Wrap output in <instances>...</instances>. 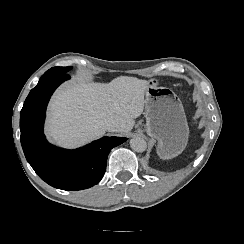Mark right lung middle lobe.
Listing matches in <instances>:
<instances>
[{"label": "right lung middle lobe", "mask_w": 244, "mask_h": 244, "mask_svg": "<svg viewBox=\"0 0 244 244\" xmlns=\"http://www.w3.org/2000/svg\"><path fill=\"white\" fill-rule=\"evenodd\" d=\"M72 67H53L46 71L45 73L49 72H68Z\"/></svg>", "instance_id": "dd1d6c3e"}]
</instances>
